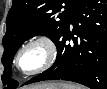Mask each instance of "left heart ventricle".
<instances>
[{
  "label": "left heart ventricle",
  "mask_w": 107,
  "mask_h": 89,
  "mask_svg": "<svg viewBox=\"0 0 107 89\" xmlns=\"http://www.w3.org/2000/svg\"><path fill=\"white\" fill-rule=\"evenodd\" d=\"M46 51L41 45L28 47L20 57V67L23 71H31L42 65Z\"/></svg>",
  "instance_id": "b2bd125f"
}]
</instances>
